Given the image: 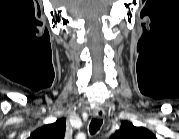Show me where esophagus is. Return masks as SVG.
<instances>
[{"instance_id": "obj_1", "label": "esophagus", "mask_w": 179, "mask_h": 139, "mask_svg": "<svg viewBox=\"0 0 179 139\" xmlns=\"http://www.w3.org/2000/svg\"><path fill=\"white\" fill-rule=\"evenodd\" d=\"M93 116L97 119H103L105 117V111L103 109H95Z\"/></svg>"}]
</instances>
